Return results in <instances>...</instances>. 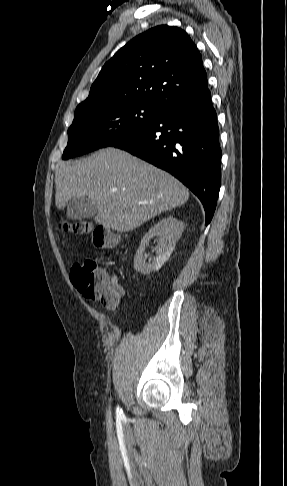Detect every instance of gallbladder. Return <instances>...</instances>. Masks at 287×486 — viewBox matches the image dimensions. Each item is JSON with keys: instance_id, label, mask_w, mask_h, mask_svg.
<instances>
[{"instance_id": "bac80fb5", "label": "gallbladder", "mask_w": 287, "mask_h": 486, "mask_svg": "<svg viewBox=\"0 0 287 486\" xmlns=\"http://www.w3.org/2000/svg\"><path fill=\"white\" fill-rule=\"evenodd\" d=\"M97 206L88 197H73L67 204V218L70 220L89 219L96 215Z\"/></svg>"}]
</instances>
